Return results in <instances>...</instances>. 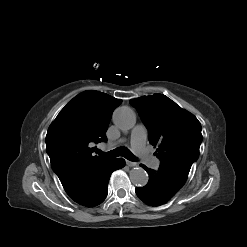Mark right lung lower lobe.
Listing matches in <instances>:
<instances>
[{"instance_id": "98d812e1", "label": "right lung lower lobe", "mask_w": 247, "mask_h": 247, "mask_svg": "<svg viewBox=\"0 0 247 247\" xmlns=\"http://www.w3.org/2000/svg\"><path fill=\"white\" fill-rule=\"evenodd\" d=\"M122 158L111 159L101 167L90 171L64 186L67 194L78 204L94 207L102 203L108 194L111 173L124 167Z\"/></svg>"}]
</instances>
